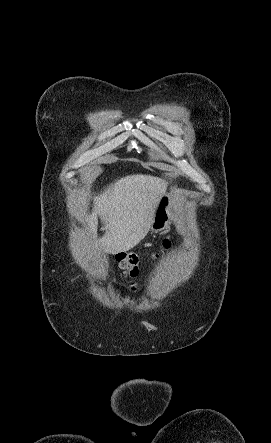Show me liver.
I'll use <instances>...</instances> for the list:
<instances>
[{"instance_id":"liver-1","label":"liver","mask_w":271,"mask_h":443,"mask_svg":"<svg viewBox=\"0 0 271 443\" xmlns=\"http://www.w3.org/2000/svg\"><path fill=\"white\" fill-rule=\"evenodd\" d=\"M167 182L154 176H125L95 198L91 216L87 222L89 235L97 233V216L104 231L100 247L106 253L128 251L147 235L154 210L166 194Z\"/></svg>"}]
</instances>
